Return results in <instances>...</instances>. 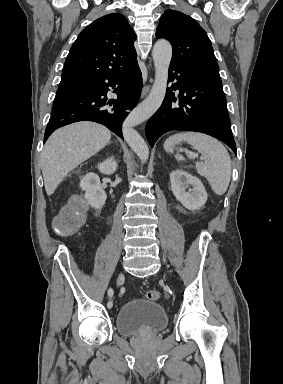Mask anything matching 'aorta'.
<instances>
[{
	"label": "aorta",
	"instance_id": "aorta-1",
	"mask_svg": "<svg viewBox=\"0 0 283 384\" xmlns=\"http://www.w3.org/2000/svg\"><path fill=\"white\" fill-rule=\"evenodd\" d=\"M155 80L148 97L140 103L126 118L123 124V136L139 159L145 163L149 157V149L134 127L148 120L161 106L168 81V69L172 58V46L166 40H158L153 47Z\"/></svg>",
	"mask_w": 283,
	"mask_h": 384
}]
</instances>
